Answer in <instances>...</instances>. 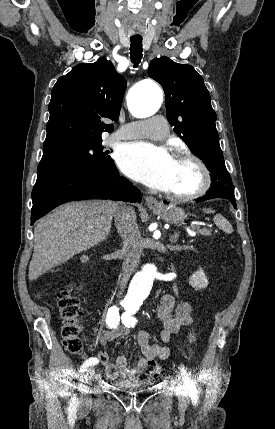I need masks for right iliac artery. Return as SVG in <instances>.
<instances>
[{
  "label": "right iliac artery",
  "mask_w": 275,
  "mask_h": 429,
  "mask_svg": "<svg viewBox=\"0 0 275 429\" xmlns=\"http://www.w3.org/2000/svg\"><path fill=\"white\" fill-rule=\"evenodd\" d=\"M119 321H120V316H119V308L116 306H112L109 308L107 316H106V324L109 328H117V326L119 325ZM99 361L97 358L95 357H91L89 359H87L81 366L80 371L84 372L85 370H87V367L89 366H94L95 364H97ZM77 405V400L76 397H73L71 400V407H76Z\"/></svg>",
  "instance_id": "right-iliac-artery-1"
}]
</instances>
